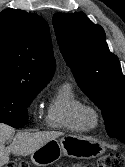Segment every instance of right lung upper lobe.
<instances>
[{
  "instance_id": "cb5924a9",
  "label": "right lung upper lobe",
  "mask_w": 125,
  "mask_h": 167,
  "mask_svg": "<svg viewBox=\"0 0 125 167\" xmlns=\"http://www.w3.org/2000/svg\"><path fill=\"white\" fill-rule=\"evenodd\" d=\"M54 71L48 23L19 9L0 12V88L42 90Z\"/></svg>"
}]
</instances>
